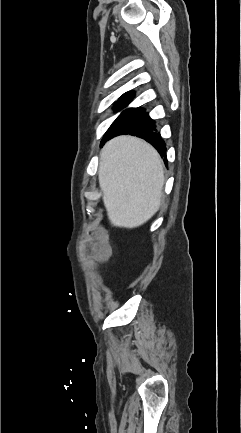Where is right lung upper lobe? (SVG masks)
I'll use <instances>...</instances> for the list:
<instances>
[{"instance_id":"1","label":"right lung upper lobe","mask_w":241,"mask_h":433,"mask_svg":"<svg viewBox=\"0 0 241 433\" xmlns=\"http://www.w3.org/2000/svg\"><path fill=\"white\" fill-rule=\"evenodd\" d=\"M134 93L133 92H127L125 94H123L121 97H133Z\"/></svg>"}]
</instances>
